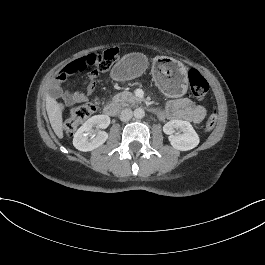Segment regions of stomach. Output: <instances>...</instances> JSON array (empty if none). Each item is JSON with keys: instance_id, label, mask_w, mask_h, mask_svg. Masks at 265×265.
Wrapping results in <instances>:
<instances>
[{"instance_id": "1", "label": "stomach", "mask_w": 265, "mask_h": 265, "mask_svg": "<svg viewBox=\"0 0 265 265\" xmlns=\"http://www.w3.org/2000/svg\"><path fill=\"white\" fill-rule=\"evenodd\" d=\"M148 60L141 53L125 55L112 69L111 75L119 81L131 80L143 74ZM152 76L156 85L168 96L179 97L188 88L187 69L180 61L158 56L152 65Z\"/></svg>"}]
</instances>
